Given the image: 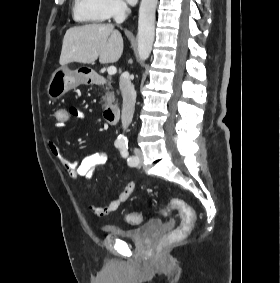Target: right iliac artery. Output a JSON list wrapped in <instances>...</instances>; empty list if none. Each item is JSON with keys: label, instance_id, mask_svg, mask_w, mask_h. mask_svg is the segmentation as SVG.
Returning <instances> with one entry per match:
<instances>
[{"label": "right iliac artery", "instance_id": "82829eb1", "mask_svg": "<svg viewBox=\"0 0 280 283\" xmlns=\"http://www.w3.org/2000/svg\"><path fill=\"white\" fill-rule=\"evenodd\" d=\"M116 147H121L122 145H123V143H121V142H116Z\"/></svg>", "mask_w": 280, "mask_h": 283}]
</instances>
